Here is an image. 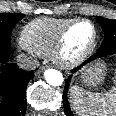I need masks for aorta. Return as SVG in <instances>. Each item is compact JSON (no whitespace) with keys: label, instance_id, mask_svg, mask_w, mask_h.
I'll use <instances>...</instances> for the list:
<instances>
[{"label":"aorta","instance_id":"aorta-1","mask_svg":"<svg viewBox=\"0 0 116 116\" xmlns=\"http://www.w3.org/2000/svg\"><path fill=\"white\" fill-rule=\"evenodd\" d=\"M44 76H45L46 82L51 86H60L64 82V78L61 72L55 69H47L44 72Z\"/></svg>","mask_w":116,"mask_h":116}]
</instances>
